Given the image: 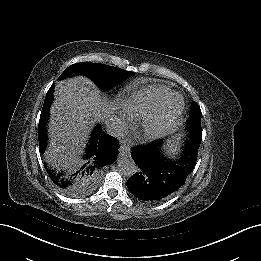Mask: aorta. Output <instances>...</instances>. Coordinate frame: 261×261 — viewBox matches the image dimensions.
Masks as SVG:
<instances>
[{
	"mask_svg": "<svg viewBox=\"0 0 261 261\" xmlns=\"http://www.w3.org/2000/svg\"><path fill=\"white\" fill-rule=\"evenodd\" d=\"M117 163L121 173L128 178L133 177L140 170L133 159L129 157L122 156Z\"/></svg>",
	"mask_w": 261,
	"mask_h": 261,
	"instance_id": "762f6f07",
	"label": "aorta"
}]
</instances>
